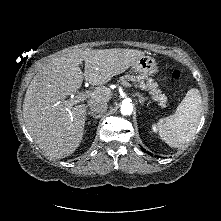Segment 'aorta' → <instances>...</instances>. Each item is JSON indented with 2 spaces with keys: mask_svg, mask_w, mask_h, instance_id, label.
Listing matches in <instances>:
<instances>
[{
  "mask_svg": "<svg viewBox=\"0 0 221 221\" xmlns=\"http://www.w3.org/2000/svg\"><path fill=\"white\" fill-rule=\"evenodd\" d=\"M120 111L123 115H130L133 111V104L130 100H124L121 104Z\"/></svg>",
  "mask_w": 221,
  "mask_h": 221,
  "instance_id": "762f6f07",
  "label": "aorta"
}]
</instances>
